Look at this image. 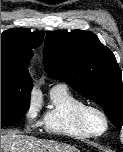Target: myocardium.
Instances as JSON below:
<instances>
[{"label":"myocardium","instance_id":"myocardium-1","mask_svg":"<svg viewBox=\"0 0 123 152\" xmlns=\"http://www.w3.org/2000/svg\"><path fill=\"white\" fill-rule=\"evenodd\" d=\"M90 113H97L98 115H100L102 117L105 126L101 132H95L90 127V125L88 123V117H89ZM77 121H78V124L80 125V127L86 133H88L90 136H93V137L102 136L103 134H105L107 132V130L109 128V119H108L106 113L99 107H96L93 105L85 104L83 107H81L77 113Z\"/></svg>","mask_w":123,"mask_h":152}]
</instances>
